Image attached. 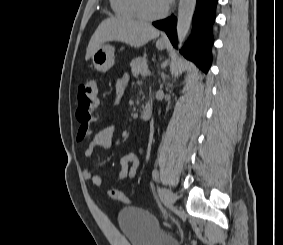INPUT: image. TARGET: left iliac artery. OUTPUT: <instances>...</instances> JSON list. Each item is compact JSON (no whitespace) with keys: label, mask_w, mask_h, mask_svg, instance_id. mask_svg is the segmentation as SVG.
<instances>
[{"label":"left iliac artery","mask_w":283,"mask_h":245,"mask_svg":"<svg viewBox=\"0 0 283 245\" xmlns=\"http://www.w3.org/2000/svg\"><path fill=\"white\" fill-rule=\"evenodd\" d=\"M152 177H153V180L157 181L158 178H159V173H158V170L157 169H154L153 172H152Z\"/></svg>","instance_id":"1"}]
</instances>
